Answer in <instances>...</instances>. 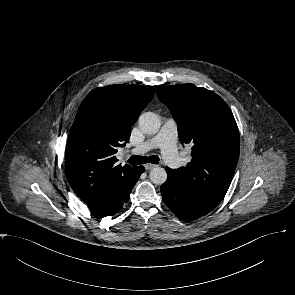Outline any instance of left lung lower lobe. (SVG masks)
Masks as SVG:
<instances>
[{
  "instance_id": "1",
  "label": "left lung lower lobe",
  "mask_w": 295,
  "mask_h": 295,
  "mask_svg": "<svg viewBox=\"0 0 295 295\" xmlns=\"http://www.w3.org/2000/svg\"><path fill=\"white\" fill-rule=\"evenodd\" d=\"M165 169L168 177L160 189L163 201L170 210L183 221H192L208 214L210 211L194 202L183 187L172 177L171 169L168 167Z\"/></svg>"
}]
</instances>
